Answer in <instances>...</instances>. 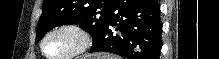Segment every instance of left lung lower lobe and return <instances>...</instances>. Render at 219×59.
I'll list each match as a JSON object with an SVG mask.
<instances>
[{
  "label": "left lung lower lobe",
  "mask_w": 219,
  "mask_h": 59,
  "mask_svg": "<svg viewBox=\"0 0 219 59\" xmlns=\"http://www.w3.org/2000/svg\"><path fill=\"white\" fill-rule=\"evenodd\" d=\"M161 31L157 0H114L90 52H110L127 59H159Z\"/></svg>",
  "instance_id": "obj_1"
}]
</instances>
